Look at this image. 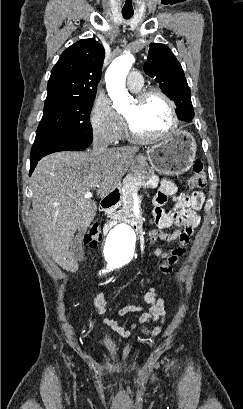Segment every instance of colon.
<instances>
[{
  "label": "colon",
  "mask_w": 243,
  "mask_h": 409,
  "mask_svg": "<svg viewBox=\"0 0 243 409\" xmlns=\"http://www.w3.org/2000/svg\"><path fill=\"white\" fill-rule=\"evenodd\" d=\"M206 173L202 161L197 160L192 167V174L189 179V186L193 189H201L206 185ZM102 238V233L97 224H91L86 235L85 244L89 247H96Z\"/></svg>",
  "instance_id": "1"
}]
</instances>
